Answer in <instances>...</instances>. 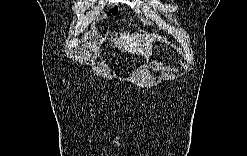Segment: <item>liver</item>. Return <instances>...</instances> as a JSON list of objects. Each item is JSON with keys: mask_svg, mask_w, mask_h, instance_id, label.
I'll return each instance as SVG.
<instances>
[{"mask_svg": "<svg viewBox=\"0 0 247 156\" xmlns=\"http://www.w3.org/2000/svg\"><path fill=\"white\" fill-rule=\"evenodd\" d=\"M103 40H109L114 44V47H118V49H122L123 52H128L131 54H137L145 56L146 59H148L150 50H151V42L152 38L144 40L143 35L139 33L129 34V33H121L120 37L115 35V38L111 37L110 39L107 38V35H105V38Z\"/></svg>", "mask_w": 247, "mask_h": 156, "instance_id": "obj_1", "label": "liver"}]
</instances>
